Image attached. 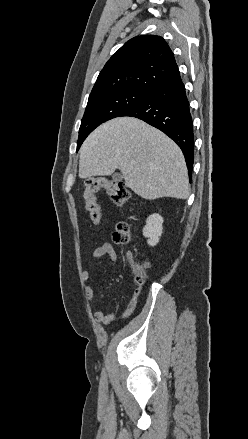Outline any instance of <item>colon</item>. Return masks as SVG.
Segmentation results:
<instances>
[{"label": "colon", "mask_w": 248, "mask_h": 439, "mask_svg": "<svg viewBox=\"0 0 248 439\" xmlns=\"http://www.w3.org/2000/svg\"><path fill=\"white\" fill-rule=\"evenodd\" d=\"M105 191L111 200L118 206H123L129 202L130 192L126 185L117 180L97 177L86 180L84 191L85 209L89 214L93 224L98 225L101 222V209L97 202L96 193ZM113 240L119 244H126L131 241L130 227L125 222H120L116 226L113 234ZM147 264H136L133 266L135 282L141 285L145 281Z\"/></svg>", "instance_id": "5ec220e1"}]
</instances>
